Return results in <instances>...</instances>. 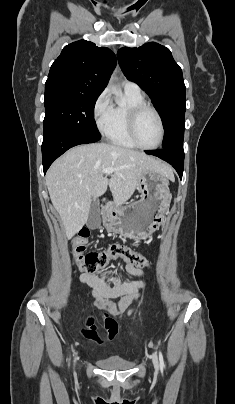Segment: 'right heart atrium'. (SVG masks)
<instances>
[{"instance_id":"d8ad5b80","label":"right heart atrium","mask_w":235,"mask_h":404,"mask_svg":"<svg viewBox=\"0 0 235 404\" xmlns=\"http://www.w3.org/2000/svg\"><path fill=\"white\" fill-rule=\"evenodd\" d=\"M112 109V102L107 90L102 91L96 98L92 114L98 129L103 132L105 129Z\"/></svg>"}]
</instances>
